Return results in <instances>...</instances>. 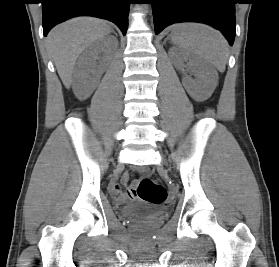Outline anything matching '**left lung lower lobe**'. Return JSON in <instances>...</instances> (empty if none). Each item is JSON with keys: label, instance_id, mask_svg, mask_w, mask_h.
Returning a JSON list of instances; mask_svg holds the SVG:
<instances>
[{"label": "left lung lower lobe", "instance_id": "0a47b994", "mask_svg": "<svg viewBox=\"0 0 279 267\" xmlns=\"http://www.w3.org/2000/svg\"><path fill=\"white\" fill-rule=\"evenodd\" d=\"M155 34L176 22H202L220 30L233 45L235 0H150Z\"/></svg>", "mask_w": 279, "mask_h": 267}]
</instances>
